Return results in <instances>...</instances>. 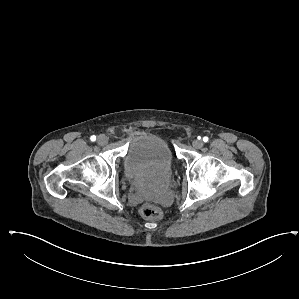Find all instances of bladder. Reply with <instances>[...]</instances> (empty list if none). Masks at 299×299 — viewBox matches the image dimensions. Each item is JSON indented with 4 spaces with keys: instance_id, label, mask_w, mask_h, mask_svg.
I'll return each mask as SVG.
<instances>
[{
    "instance_id": "bladder-1",
    "label": "bladder",
    "mask_w": 299,
    "mask_h": 299,
    "mask_svg": "<svg viewBox=\"0 0 299 299\" xmlns=\"http://www.w3.org/2000/svg\"><path fill=\"white\" fill-rule=\"evenodd\" d=\"M174 166V154L160 135L142 132L131 141L124 159L130 180L144 179L152 189L161 188Z\"/></svg>"
}]
</instances>
